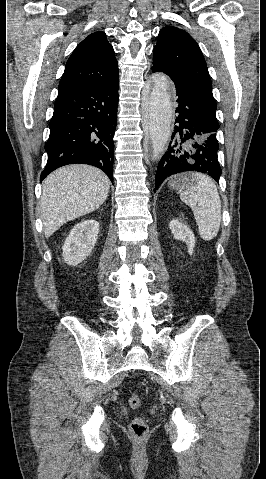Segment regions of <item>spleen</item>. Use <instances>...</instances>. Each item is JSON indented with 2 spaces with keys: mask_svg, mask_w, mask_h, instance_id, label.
I'll use <instances>...</instances> for the list:
<instances>
[{
  "mask_svg": "<svg viewBox=\"0 0 266 479\" xmlns=\"http://www.w3.org/2000/svg\"><path fill=\"white\" fill-rule=\"evenodd\" d=\"M185 189L180 198L192 209L200 237L204 241L214 239L221 223V200L214 181L205 174L194 173Z\"/></svg>",
  "mask_w": 266,
  "mask_h": 479,
  "instance_id": "spleen-1",
  "label": "spleen"
}]
</instances>
